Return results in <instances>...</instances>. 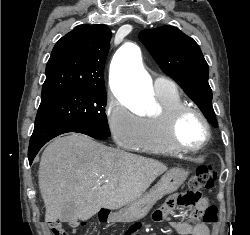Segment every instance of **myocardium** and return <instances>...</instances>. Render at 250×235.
Returning <instances> with one entry per match:
<instances>
[{"mask_svg": "<svg viewBox=\"0 0 250 235\" xmlns=\"http://www.w3.org/2000/svg\"><path fill=\"white\" fill-rule=\"evenodd\" d=\"M195 114L202 121L205 128V137L196 147L186 146L178 137V128L182 118L187 114ZM167 135L171 144L178 150L186 153H196L204 149L211 139V125L206 115L197 107L182 104L173 109L167 118Z\"/></svg>", "mask_w": 250, "mask_h": 235, "instance_id": "myocardium-1", "label": "myocardium"}]
</instances>
